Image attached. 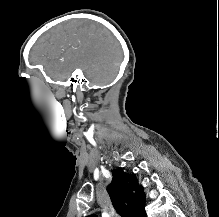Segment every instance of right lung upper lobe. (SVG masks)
<instances>
[{"instance_id":"obj_1","label":"right lung upper lobe","mask_w":219,"mask_h":217,"mask_svg":"<svg viewBox=\"0 0 219 217\" xmlns=\"http://www.w3.org/2000/svg\"><path fill=\"white\" fill-rule=\"evenodd\" d=\"M112 174L107 191L117 213L122 217H146V196L135 175H129L122 169H114ZM87 217L98 216L93 214Z\"/></svg>"}]
</instances>
